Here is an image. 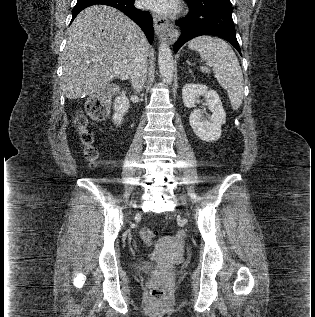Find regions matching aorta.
<instances>
[{"mask_svg": "<svg viewBox=\"0 0 315 317\" xmlns=\"http://www.w3.org/2000/svg\"><path fill=\"white\" fill-rule=\"evenodd\" d=\"M158 51L160 77L164 83L170 84L174 75V63L171 49L166 42L162 41Z\"/></svg>", "mask_w": 315, "mask_h": 317, "instance_id": "762f6f07", "label": "aorta"}]
</instances>
